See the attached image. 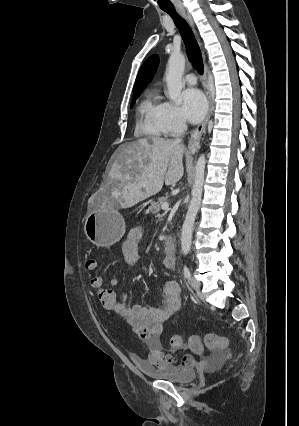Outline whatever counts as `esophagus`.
Returning <instances> with one entry per match:
<instances>
[{
  "label": "esophagus",
  "instance_id": "obj_1",
  "mask_svg": "<svg viewBox=\"0 0 299 426\" xmlns=\"http://www.w3.org/2000/svg\"><path fill=\"white\" fill-rule=\"evenodd\" d=\"M182 14L184 15V17L186 18L188 23L193 28V30H194V32L197 36V39L200 43V39H199L197 31L195 29L194 21H193L191 15H190V13L183 10ZM203 85H204L205 93H206V96H207V99H208L209 108H208V113H207L204 121L201 124H199L197 126V128L193 131V133L191 134V137H190L189 143H188V147L191 151H195L200 147L201 137L206 131V126H207V123L210 119L211 112H212V98H211V94H210V91H209V88H208L207 64L206 63L204 64Z\"/></svg>",
  "mask_w": 299,
  "mask_h": 426
}]
</instances>
